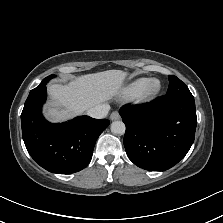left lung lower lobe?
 <instances>
[{
    "label": "left lung lower lobe",
    "instance_id": "obj_1",
    "mask_svg": "<svg viewBox=\"0 0 223 223\" xmlns=\"http://www.w3.org/2000/svg\"><path fill=\"white\" fill-rule=\"evenodd\" d=\"M126 125L124 146L138 167L164 171L184 158L194 142L197 117L193 96L164 95L119 111Z\"/></svg>",
    "mask_w": 223,
    "mask_h": 223
}]
</instances>
